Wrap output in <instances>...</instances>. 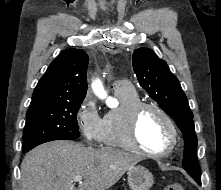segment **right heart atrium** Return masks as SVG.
Returning <instances> with one entry per match:
<instances>
[{
  "label": "right heart atrium",
  "mask_w": 221,
  "mask_h": 190,
  "mask_svg": "<svg viewBox=\"0 0 221 190\" xmlns=\"http://www.w3.org/2000/svg\"><path fill=\"white\" fill-rule=\"evenodd\" d=\"M76 123L79 131L88 144H97L102 139V118L94 100L87 96L76 112Z\"/></svg>",
  "instance_id": "d8ad5b80"
}]
</instances>
